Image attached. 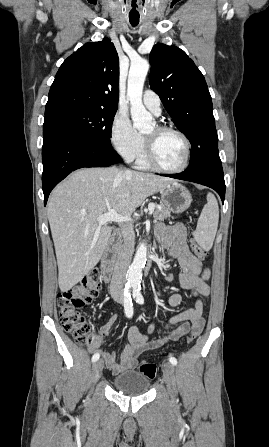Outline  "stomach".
<instances>
[{
	"mask_svg": "<svg viewBox=\"0 0 269 447\" xmlns=\"http://www.w3.org/2000/svg\"><path fill=\"white\" fill-rule=\"evenodd\" d=\"M162 202L173 214H181L191 206L192 196L184 186L180 184H169L161 190Z\"/></svg>",
	"mask_w": 269,
	"mask_h": 447,
	"instance_id": "1",
	"label": "stomach"
}]
</instances>
